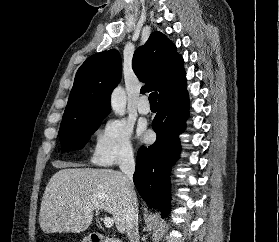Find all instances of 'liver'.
Returning a JSON list of instances; mask_svg holds the SVG:
<instances>
[{
  "instance_id": "1",
  "label": "liver",
  "mask_w": 279,
  "mask_h": 242,
  "mask_svg": "<svg viewBox=\"0 0 279 242\" xmlns=\"http://www.w3.org/2000/svg\"><path fill=\"white\" fill-rule=\"evenodd\" d=\"M49 180L41 202L39 224L44 233H80L89 228L94 210L112 215L120 233L126 231L127 177L111 169L67 168Z\"/></svg>"
}]
</instances>
